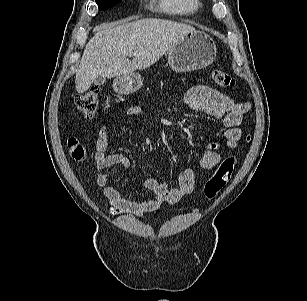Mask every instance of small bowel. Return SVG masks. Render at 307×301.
I'll return each instance as SVG.
<instances>
[{"label": "small bowel", "mask_w": 307, "mask_h": 301, "mask_svg": "<svg viewBox=\"0 0 307 301\" xmlns=\"http://www.w3.org/2000/svg\"><path fill=\"white\" fill-rule=\"evenodd\" d=\"M186 104L193 110L202 111L214 118L221 119L225 127L224 144L228 148H235L242 137L240 129L243 116L250 110L248 102H234L222 92L208 85H194L189 88L185 97ZM126 113L138 116L140 108L129 107ZM111 126L102 125L97 134L95 163L99 171L96 181L103 188V193L109 204L112 215H131L141 217L147 213L158 212L164 204H175L184 195L192 194L197 189V173L188 168L181 172L179 184L172 188L167 182L157 178H148L144 182L145 188L154 193V197L147 200H134L114 186L108 185L110 167H131L130 159L121 153L106 154L109 146ZM219 143H213L207 148L200 159L199 167L212 170L220 161Z\"/></svg>", "instance_id": "small-bowel-1"}]
</instances>
